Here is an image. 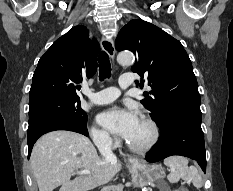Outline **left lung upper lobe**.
Masks as SVG:
<instances>
[{"label":"left lung upper lobe","instance_id":"5c2ea615","mask_svg":"<svg viewBox=\"0 0 233 191\" xmlns=\"http://www.w3.org/2000/svg\"><path fill=\"white\" fill-rule=\"evenodd\" d=\"M115 48L138 57L132 71L141 76L140 85L147 81L152 88L143 94L141 103L159 128L172 116H202L192 64L178 40L149 22L131 20L120 30Z\"/></svg>","mask_w":233,"mask_h":191}]
</instances>
